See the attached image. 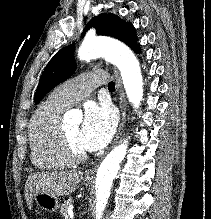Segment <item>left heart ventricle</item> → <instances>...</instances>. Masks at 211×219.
I'll return each mask as SVG.
<instances>
[{
	"label": "left heart ventricle",
	"mask_w": 211,
	"mask_h": 219,
	"mask_svg": "<svg viewBox=\"0 0 211 219\" xmlns=\"http://www.w3.org/2000/svg\"><path fill=\"white\" fill-rule=\"evenodd\" d=\"M80 128H81L80 124L77 123V124H71V125L66 126L64 130L69 136V138L72 140L74 145L80 150H84L79 141Z\"/></svg>",
	"instance_id": "1"
}]
</instances>
